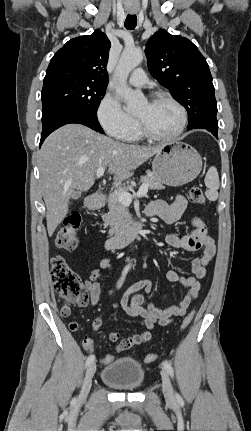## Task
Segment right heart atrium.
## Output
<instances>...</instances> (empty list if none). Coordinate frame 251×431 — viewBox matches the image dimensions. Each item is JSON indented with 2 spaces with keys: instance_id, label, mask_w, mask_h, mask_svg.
Returning a JSON list of instances; mask_svg holds the SVG:
<instances>
[{
  "instance_id": "1",
  "label": "right heart atrium",
  "mask_w": 251,
  "mask_h": 431,
  "mask_svg": "<svg viewBox=\"0 0 251 431\" xmlns=\"http://www.w3.org/2000/svg\"><path fill=\"white\" fill-rule=\"evenodd\" d=\"M97 119L106 133L119 139L127 138L136 127L135 118L127 113L119 100L110 93H106L100 100Z\"/></svg>"
}]
</instances>
